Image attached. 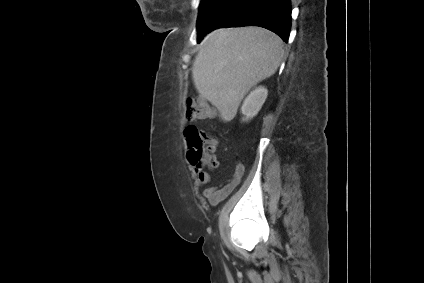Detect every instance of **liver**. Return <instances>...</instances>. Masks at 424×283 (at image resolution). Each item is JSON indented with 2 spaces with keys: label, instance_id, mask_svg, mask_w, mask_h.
<instances>
[{
  "label": "liver",
  "instance_id": "1",
  "mask_svg": "<svg viewBox=\"0 0 424 283\" xmlns=\"http://www.w3.org/2000/svg\"><path fill=\"white\" fill-rule=\"evenodd\" d=\"M283 56L281 38L261 27L217 29L201 42L192 67L198 93L231 121L257 83L272 76Z\"/></svg>",
  "mask_w": 424,
  "mask_h": 283
}]
</instances>
